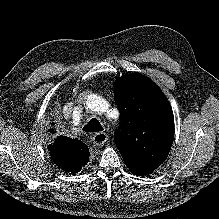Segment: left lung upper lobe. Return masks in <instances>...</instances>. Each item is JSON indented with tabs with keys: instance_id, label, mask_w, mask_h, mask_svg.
<instances>
[{
	"instance_id": "1",
	"label": "left lung upper lobe",
	"mask_w": 219,
	"mask_h": 219,
	"mask_svg": "<svg viewBox=\"0 0 219 219\" xmlns=\"http://www.w3.org/2000/svg\"><path fill=\"white\" fill-rule=\"evenodd\" d=\"M121 123L115 143L131 172L154 171L167 158L174 139L171 106L148 77L133 73L115 81Z\"/></svg>"
}]
</instances>
